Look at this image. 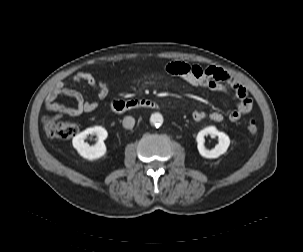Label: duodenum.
I'll return each instance as SVG.
<instances>
[{
	"mask_svg": "<svg viewBox=\"0 0 303 252\" xmlns=\"http://www.w3.org/2000/svg\"><path fill=\"white\" fill-rule=\"evenodd\" d=\"M159 104L153 100L147 99H132V100H118L112 106V111L116 114H123L129 110L133 109H157Z\"/></svg>",
	"mask_w": 303,
	"mask_h": 252,
	"instance_id": "410a0bca",
	"label": "duodenum"
}]
</instances>
